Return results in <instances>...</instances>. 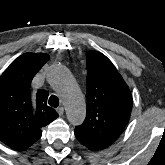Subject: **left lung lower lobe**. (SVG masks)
Here are the masks:
<instances>
[{
	"label": "left lung lower lobe",
	"instance_id": "obj_1",
	"mask_svg": "<svg viewBox=\"0 0 165 165\" xmlns=\"http://www.w3.org/2000/svg\"><path fill=\"white\" fill-rule=\"evenodd\" d=\"M75 136L82 145L86 146L90 150L96 151L107 147L78 129H75Z\"/></svg>",
	"mask_w": 165,
	"mask_h": 165
}]
</instances>
